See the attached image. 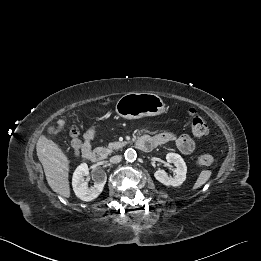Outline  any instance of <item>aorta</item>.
<instances>
[{
    "label": "aorta",
    "mask_w": 261,
    "mask_h": 261,
    "mask_svg": "<svg viewBox=\"0 0 261 261\" xmlns=\"http://www.w3.org/2000/svg\"><path fill=\"white\" fill-rule=\"evenodd\" d=\"M125 159L129 162H133L134 160H136V157H137V153L134 149L132 148H129L125 151Z\"/></svg>",
    "instance_id": "aorta-1"
}]
</instances>
